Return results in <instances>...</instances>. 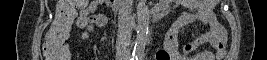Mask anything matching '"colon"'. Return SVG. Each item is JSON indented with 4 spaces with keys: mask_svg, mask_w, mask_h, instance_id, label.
Wrapping results in <instances>:
<instances>
[{
    "mask_svg": "<svg viewBox=\"0 0 267 60\" xmlns=\"http://www.w3.org/2000/svg\"><path fill=\"white\" fill-rule=\"evenodd\" d=\"M86 0H60L58 1L56 14L49 30L46 32L43 45V53L48 60H70L71 53L67 49L65 41L71 31L76 8L85 6ZM78 27H85L83 21L77 22Z\"/></svg>",
    "mask_w": 267,
    "mask_h": 60,
    "instance_id": "colon-1",
    "label": "colon"
}]
</instances>
